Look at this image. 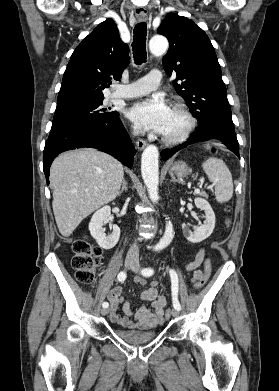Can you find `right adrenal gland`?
Here are the masks:
<instances>
[{"instance_id":"1","label":"right adrenal gland","mask_w":279,"mask_h":391,"mask_svg":"<svg viewBox=\"0 0 279 391\" xmlns=\"http://www.w3.org/2000/svg\"><path fill=\"white\" fill-rule=\"evenodd\" d=\"M127 190H128L127 181L125 179H123L122 188L119 191L118 195L120 196L124 191H127Z\"/></svg>"}]
</instances>
